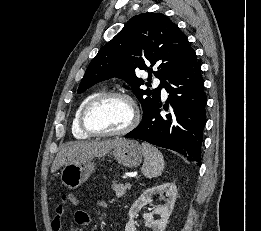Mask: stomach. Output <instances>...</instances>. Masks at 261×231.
<instances>
[{"instance_id": "obj_1", "label": "stomach", "mask_w": 261, "mask_h": 231, "mask_svg": "<svg viewBox=\"0 0 261 231\" xmlns=\"http://www.w3.org/2000/svg\"><path fill=\"white\" fill-rule=\"evenodd\" d=\"M110 155L119 164L128 168H135L142 162L143 151L137 141L123 140L110 151ZM94 168L95 164L92 160L66 164L61 171V181L69 189H76L91 176Z\"/></svg>"}]
</instances>
